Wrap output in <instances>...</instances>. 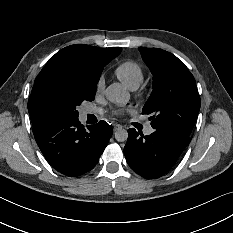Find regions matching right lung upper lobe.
<instances>
[{
  "label": "right lung upper lobe",
  "instance_id": "obj_1",
  "mask_svg": "<svg viewBox=\"0 0 233 233\" xmlns=\"http://www.w3.org/2000/svg\"><path fill=\"white\" fill-rule=\"evenodd\" d=\"M120 47L98 48L76 44L65 47L53 55L37 75L28 101L32 125L41 122L36 116V101L44 83L52 75H63L87 81L100 78L102 69L121 52Z\"/></svg>",
  "mask_w": 233,
  "mask_h": 233
}]
</instances>
